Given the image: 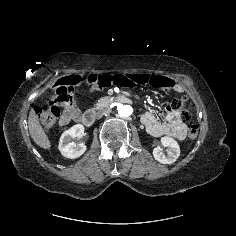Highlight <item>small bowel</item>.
<instances>
[{"mask_svg": "<svg viewBox=\"0 0 236 236\" xmlns=\"http://www.w3.org/2000/svg\"><path fill=\"white\" fill-rule=\"evenodd\" d=\"M89 86L93 90H103L104 88H123L126 84L138 83L150 84L154 87L164 88L172 91H181L182 87L174 80L156 74H126L122 72L105 73L104 75H92L88 78ZM63 112L60 116V124L66 125L70 121H78L81 117L80 110L73 104H63ZM142 122L147 131L156 137L171 136L178 140H184L187 135V126L183 122L178 111L171 106L166 108V119L160 121L158 116L147 111L142 115Z\"/></svg>", "mask_w": 236, "mask_h": 236, "instance_id": "obj_1", "label": "small bowel"}]
</instances>
